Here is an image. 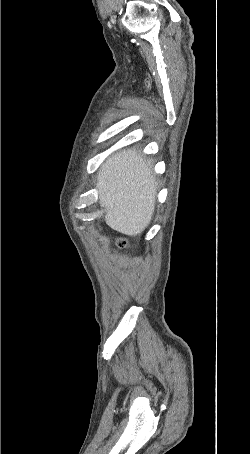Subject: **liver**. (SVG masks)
Returning <instances> with one entry per match:
<instances>
[{
    "instance_id": "6515ba94",
    "label": "liver",
    "mask_w": 250,
    "mask_h": 454,
    "mask_svg": "<svg viewBox=\"0 0 250 454\" xmlns=\"http://www.w3.org/2000/svg\"><path fill=\"white\" fill-rule=\"evenodd\" d=\"M99 204L109 227L128 236L140 235L155 209L157 182L150 161L135 149L109 157L98 172Z\"/></svg>"
}]
</instances>
